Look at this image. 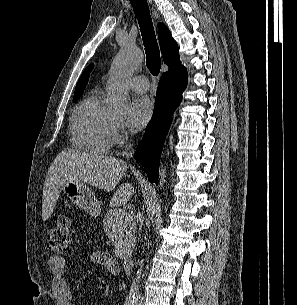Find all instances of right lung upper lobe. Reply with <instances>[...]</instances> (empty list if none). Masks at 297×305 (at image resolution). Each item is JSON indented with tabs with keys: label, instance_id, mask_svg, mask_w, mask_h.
<instances>
[{
	"label": "right lung upper lobe",
	"instance_id": "obj_1",
	"mask_svg": "<svg viewBox=\"0 0 297 305\" xmlns=\"http://www.w3.org/2000/svg\"><path fill=\"white\" fill-rule=\"evenodd\" d=\"M158 39L160 43L161 53L163 55V60L169 67L168 73L175 72L183 68L179 60L178 45L172 38L169 29L161 23L158 25ZM91 70L92 66L90 65L82 73L76 85L74 99H79V97L83 94L84 88L86 87L88 81L89 72Z\"/></svg>",
	"mask_w": 297,
	"mask_h": 305
}]
</instances>
